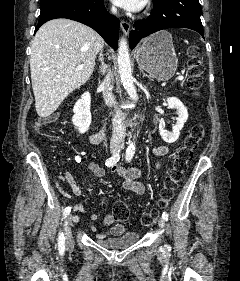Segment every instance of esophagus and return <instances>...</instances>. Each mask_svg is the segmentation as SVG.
Masks as SVG:
<instances>
[{"label": "esophagus", "instance_id": "obj_1", "mask_svg": "<svg viewBox=\"0 0 240 281\" xmlns=\"http://www.w3.org/2000/svg\"><path fill=\"white\" fill-rule=\"evenodd\" d=\"M120 26H121V29H122L123 33L126 36L129 35L130 29H131L130 23L127 22V21L121 20Z\"/></svg>", "mask_w": 240, "mask_h": 281}]
</instances>
